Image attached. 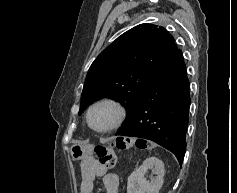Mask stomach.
<instances>
[{
    "label": "stomach",
    "mask_w": 237,
    "mask_h": 193,
    "mask_svg": "<svg viewBox=\"0 0 237 193\" xmlns=\"http://www.w3.org/2000/svg\"><path fill=\"white\" fill-rule=\"evenodd\" d=\"M70 153L73 160H82L91 154V147L85 144H73Z\"/></svg>",
    "instance_id": "stomach-1"
}]
</instances>
